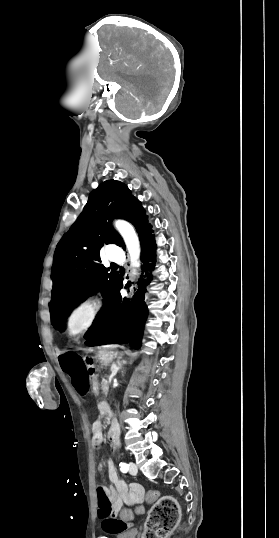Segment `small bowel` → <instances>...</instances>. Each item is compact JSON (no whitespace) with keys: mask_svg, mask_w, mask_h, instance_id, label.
Instances as JSON below:
<instances>
[{"mask_svg":"<svg viewBox=\"0 0 279 538\" xmlns=\"http://www.w3.org/2000/svg\"><path fill=\"white\" fill-rule=\"evenodd\" d=\"M71 381L75 392L80 397L88 396L93 389L92 382L89 375L86 372H76L71 375ZM111 445L117 448L118 441V429L116 424H113L112 431L109 436ZM92 441L94 445H101L103 443L102 422L95 421L92 425ZM108 476L111 482V486L107 489L109 499L112 504L113 514L109 517H103V529L108 533H117L126 530L131 526V523L116 518V513L123 507L124 504L134 505L139 504L144 499V488L138 483H132L127 486L123 481L118 478L116 469L112 461L107 463ZM105 467L104 462H100L97 466L99 471H102Z\"/></svg>","mask_w":279,"mask_h":538,"instance_id":"c3829d8e","label":"small bowel"}]
</instances>
